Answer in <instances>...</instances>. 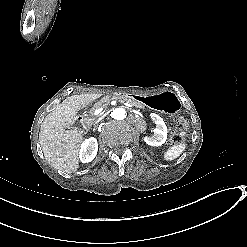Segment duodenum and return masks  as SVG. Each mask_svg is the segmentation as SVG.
I'll return each mask as SVG.
<instances>
[{
	"instance_id": "410a0bca",
	"label": "duodenum",
	"mask_w": 247,
	"mask_h": 247,
	"mask_svg": "<svg viewBox=\"0 0 247 247\" xmlns=\"http://www.w3.org/2000/svg\"><path fill=\"white\" fill-rule=\"evenodd\" d=\"M126 97L132 98V96H126ZM83 124H84V115H83V113H79V114L75 117V119H74V121H73V125H74L75 127H82Z\"/></svg>"
}]
</instances>
